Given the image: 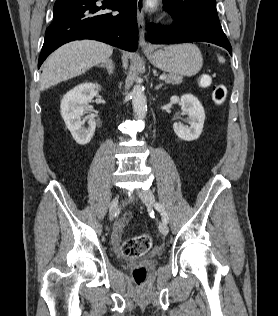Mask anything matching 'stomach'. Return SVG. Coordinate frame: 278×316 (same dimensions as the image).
<instances>
[{
    "instance_id": "0dacf381",
    "label": "stomach",
    "mask_w": 278,
    "mask_h": 316,
    "mask_svg": "<svg viewBox=\"0 0 278 316\" xmlns=\"http://www.w3.org/2000/svg\"><path fill=\"white\" fill-rule=\"evenodd\" d=\"M147 58L162 71L188 77L197 74L203 65L200 50L192 44L167 46L148 53Z\"/></svg>"
}]
</instances>
